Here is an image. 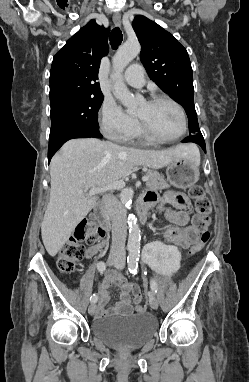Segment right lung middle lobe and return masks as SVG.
<instances>
[{
	"mask_svg": "<svg viewBox=\"0 0 249 382\" xmlns=\"http://www.w3.org/2000/svg\"><path fill=\"white\" fill-rule=\"evenodd\" d=\"M103 94L94 97L72 98L51 104L50 137L77 128H98L97 113Z\"/></svg>",
	"mask_w": 249,
	"mask_h": 382,
	"instance_id": "1",
	"label": "right lung middle lobe"
}]
</instances>
